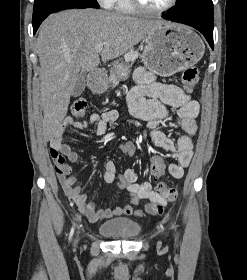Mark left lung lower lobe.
I'll return each instance as SVG.
<instances>
[{
  "instance_id": "1",
  "label": "left lung lower lobe",
  "mask_w": 247,
  "mask_h": 280,
  "mask_svg": "<svg viewBox=\"0 0 247 280\" xmlns=\"http://www.w3.org/2000/svg\"><path fill=\"white\" fill-rule=\"evenodd\" d=\"M166 20H171L178 23L189 25L200 31L208 41L211 48H214L213 43V13H191V14H174L171 11L163 16Z\"/></svg>"
}]
</instances>
